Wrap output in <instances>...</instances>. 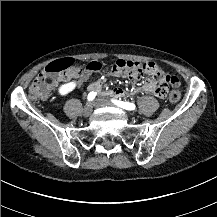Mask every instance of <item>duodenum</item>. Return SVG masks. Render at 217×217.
<instances>
[{
	"label": "duodenum",
	"mask_w": 217,
	"mask_h": 217,
	"mask_svg": "<svg viewBox=\"0 0 217 217\" xmlns=\"http://www.w3.org/2000/svg\"><path fill=\"white\" fill-rule=\"evenodd\" d=\"M89 89L94 90L98 93H102L103 95H109V94H113L114 90L113 89H109L106 90L103 86V84L99 81L93 82L89 85Z\"/></svg>",
	"instance_id": "1"
}]
</instances>
